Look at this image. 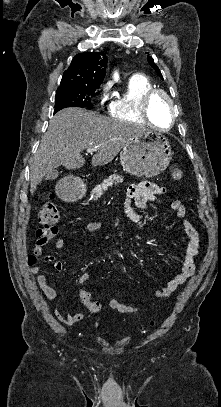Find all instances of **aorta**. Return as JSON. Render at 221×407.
<instances>
[{
    "instance_id": "obj_1",
    "label": "aorta",
    "mask_w": 221,
    "mask_h": 407,
    "mask_svg": "<svg viewBox=\"0 0 221 407\" xmlns=\"http://www.w3.org/2000/svg\"><path fill=\"white\" fill-rule=\"evenodd\" d=\"M114 78H115V80H118V74L117 73L114 75Z\"/></svg>"
}]
</instances>
